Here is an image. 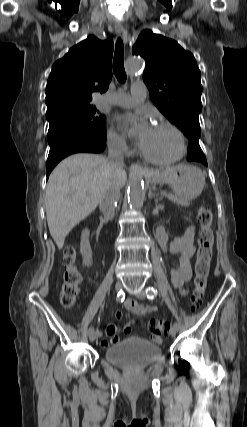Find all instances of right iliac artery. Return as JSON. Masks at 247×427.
<instances>
[{
    "label": "right iliac artery",
    "instance_id": "82829eb1",
    "mask_svg": "<svg viewBox=\"0 0 247 427\" xmlns=\"http://www.w3.org/2000/svg\"><path fill=\"white\" fill-rule=\"evenodd\" d=\"M125 299V293L121 290L120 292H118L116 300L117 302H123ZM94 330V328L91 326L88 329V333L92 332Z\"/></svg>",
    "mask_w": 247,
    "mask_h": 427
}]
</instances>
